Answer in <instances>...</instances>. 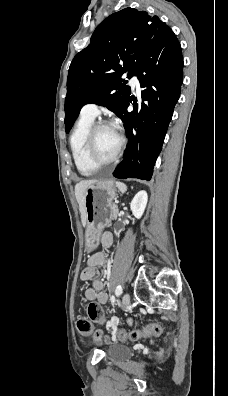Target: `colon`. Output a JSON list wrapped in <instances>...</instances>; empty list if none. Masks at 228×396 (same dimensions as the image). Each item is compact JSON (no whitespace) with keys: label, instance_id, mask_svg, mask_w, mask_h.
<instances>
[{"label":"colon","instance_id":"1","mask_svg":"<svg viewBox=\"0 0 228 396\" xmlns=\"http://www.w3.org/2000/svg\"><path fill=\"white\" fill-rule=\"evenodd\" d=\"M89 319L80 318L77 321V328L80 335L89 338L94 333V323H101L105 319L102 307L97 303L88 306ZM162 332V326L158 322L149 324L146 327L136 328L131 331L121 329L117 332V338L121 341L137 340L142 337H156Z\"/></svg>","mask_w":228,"mask_h":396}]
</instances>
